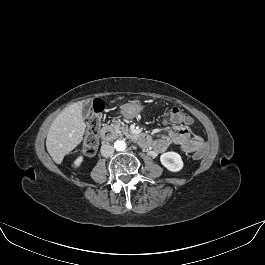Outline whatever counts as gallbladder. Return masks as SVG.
<instances>
[{
	"instance_id": "gallbladder-1",
	"label": "gallbladder",
	"mask_w": 265,
	"mask_h": 265,
	"mask_svg": "<svg viewBox=\"0 0 265 265\" xmlns=\"http://www.w3.org/2000/svg\"><path fill=\"white\" fill-rule=\"evenodd\" d=\"M91 113V106L90 104H85L82 109V116L84 118H88Z\"/></svg>"
}]
</instances>
